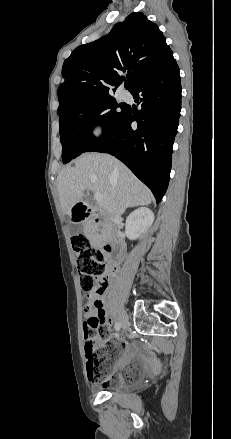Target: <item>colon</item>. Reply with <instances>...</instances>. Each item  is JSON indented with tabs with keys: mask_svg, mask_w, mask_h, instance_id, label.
<instances>
[{
	"mask_svg": "<svg viewBox=\"0 0 231 439\" xmlns=\"http://www.w3.org/2000/svg\"><path fill=\"white\" fill-rule=\"evenodd\" d=\"M71 243L83 292L87 295L104 292L108 285V267L103 252L92 246L84 234L73 235ZM95 306L98 307L99 304L95 303ZM85 337L86 362L90 378L107 387L117 386L122 380V375L114 373L110 376L109 373L118 354L116 350L118 341L108 338L103 329L93 326L85 331ZM98 341H101L100 345H97Z\"/></svg>",
	"mask_w": 231,
	"mask_h": 439,
	"instance_id": "1",
	"label": "colon"
}]
</instances>
